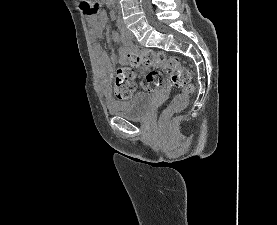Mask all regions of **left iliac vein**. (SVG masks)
<instances>
[{
	"mask_svg": "<svg viewBox=\"0 0 277 225\" xmlns=\"http://www.w3.org/2000/svg\"><path fill=\"white\" fill-rule=\"evenodd\" d=\"M126 34L130 39L133 38V35L130 32H126Z\"/></svg>",
	"mask_w": 277,
	"mask_h": 225,
	"instance_id": "left-iliac-vein-1",
	"label": "left iliac vein"
}]
</instances>
